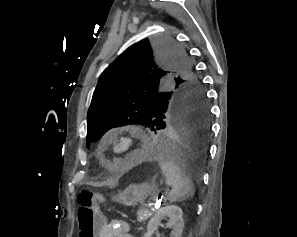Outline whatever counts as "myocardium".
Segmentation results:
<instances>
[{
  "label": "myocardium",
  "instance_id": "myocardium-1",
  "mask_svg": "<svg viewBox=\"0 0 297 237\" xmlns=\"http://www.w3.org/2000/svg\"><path fill=\"white\" fill-rule=\"evenodd\" d=\"M111 140L109 152L117 157L126 158L129 157L137 147V139L133 133H124L118 136H114ZM121 149L118 150L117 147Z\"/></svg>",
  "mask_w": 297,
  "mask_h": 237
}]
</instances>
